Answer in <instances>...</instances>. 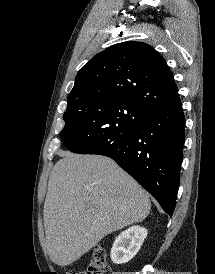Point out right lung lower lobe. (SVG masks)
<instances>
[{
	"label": "right lung lower lobe",
	"mask_w": 215,
	"mask_h": 274,
	"mask_svg": "<svg viewBox=\"0 0 215 274\" xmlns=\"http://www.w3.org/2000/svg\"><path fill=\"white\" fill-rule=\"evenodd\" d=\"M185 141L181 102L148 112L129 134L89 154L115 160L172 215L180 179Z\"/></svg>",
	"instance_id": "98d812e1"
}]
</instances>
